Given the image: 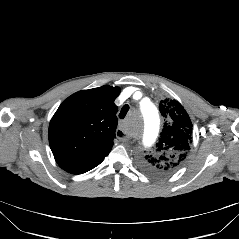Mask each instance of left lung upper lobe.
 I'll list each match as a JSON object with an SVG mask.
<instances>
[{
	"instance_id": "obj_1",
	"label": "left lung upper lobe",
	"mask_w": 239,
	"mask_h": 239,
	"mask_svg": "<svg viewBox=\"0 0 239 239\" xmlns=\"http://www.w3.org/2000/svg\"><path fill=\"white\" fill-rule=\"evenodd\" d=\"M164 128L154 149L141 165L150 173L164 176L178 170L186 161L192 143V123L183 106L175 99L160 101Z\"/></svg>"
}]
</instances>
